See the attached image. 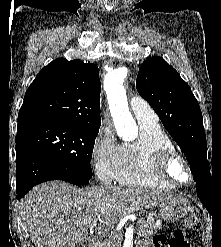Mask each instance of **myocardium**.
Wrapping results in <instances>:
<instances>
[{"label": "myocardium", "mask_w": 221, "mask_h": 247, "mask_svg": "<svg viewBox=\"0 0 221 247\" xmlns=\"http://www.w3.org/2000/svg\"><path fill=\"white\" fill-rule=\"evenodd\" d=\"M152 168L155 174L162 180L175 186H188L193 181V174L186 158L176 149L160 148L151 158ZM175 163H180L185 169L187 180L185 182L176 178L172 173Z\"/></svg>", "instance_id": "myocardium-1"}]
</instances>
